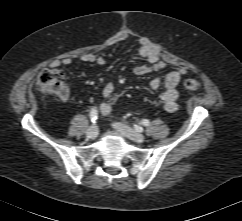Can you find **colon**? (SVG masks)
Here are the masks:
<instances>
[{"label":"colon","mask_w":242,"mask_h":221,"mask_svg":"<svg viewBox=\"0 0 242 221\" xmlns=\"http://www.w3.org/2000/svg\"><path fill=\"white\" fill-rule=\"evenodd\" d=\"M65 76L57 68H46L40 71L37 77V88L45 94H55L64 98L67 95L65 89ZM183 85L188 90H196L200 87V82L194 78H187Z\"/></svg>","instance_id":"5ec220e1"}]
</instances>
